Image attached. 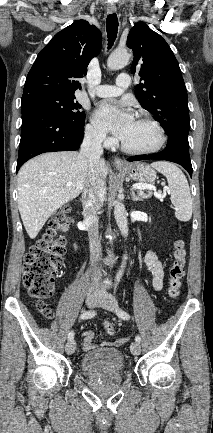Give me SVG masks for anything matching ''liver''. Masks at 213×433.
Segmentation results:
<instances>
[{"instance_id": "liver-1", "label": "liver", "mask_w": 213, "mask_h": 433, "mask_svg": "<svg viewBox=\"0 0 213 433\" xmlns=\"http://www.w3.org/2000/svg\"><path fill=\"white\" fill-rule=\"evenodd\" d=\"M98 174L108 175V166L100 160ZM88 162L78 152H51L26 162L18 173V208L23 225L34 239L48 218L83 191ZM72 183L67 186V183Z\"/></svg>"}]
</instances>
